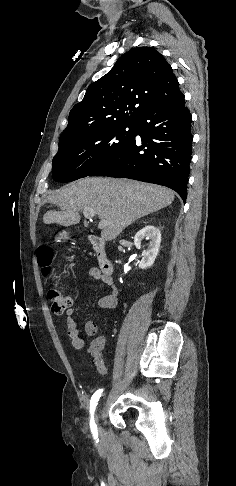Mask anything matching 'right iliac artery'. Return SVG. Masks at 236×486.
<instances>
[{
    "label": "right iliac artery",
    "instance_id": "1",
    "mask_svg": "<svg viewBox=\"0 0 236 486\" xmlns=\"http://www.w3.org/2000/svg\"><path fill=\"white\" fill-rule=\"evenodd\" d=\"M103 392V389H99L97 390L92 398H91V402H90V415H91V419H90V427H91V431H92V434L94 436L95 439H97L98 437V432H97V425L94 421V412H95V408L97 406V402L101 396Z\"/></svg>",
    "mask_w": 236,
    "mask_h": 486
}]
</instances>
